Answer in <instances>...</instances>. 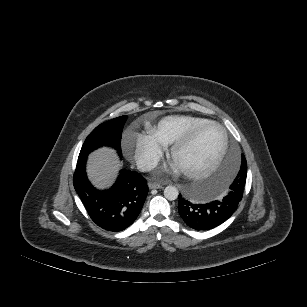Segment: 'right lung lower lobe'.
Returning <instances> with one entry per match:
<instances>
[{"instance_id":"98d812e1","label":"right lung lower lobe","mask_w":307,"mask_h":307,"mask_svg":"<svg viewBox=\"0 0 307 307\" xmlns=\"http://www.w3.org/2000/svg\"><path fill=\"white\" fill-rule=\"evenodd\" d=\"M86 157L78 158L73 185L91 219L101 228L118 232L138 217L148 194L147 181L137 172L121 170L110 190L94 188L86 175Z\"/></svg>"}]
</instances>
